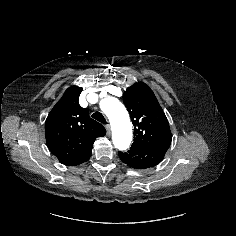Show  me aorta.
Listing matches in <instances>:
<instances>
[{
	"label": "aorta",
	"mask_w": 236,
	"mask_h": 236,
	"mask_svg": "<svg viewBox=\"0 0 236 236\" xmlns=\"http://www.w3.org/2000/svg\"><path fill=\"white\" fill-rule=\"evenodd\" d=\"M100 107L111 122L115 148L122 151L128 149L132 141V123L124 105L109 97L101 101Z\"/></svg>",
	"instance_id": "1"
}]
</instances>
